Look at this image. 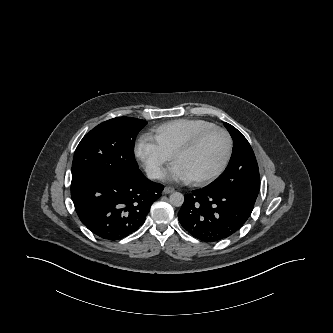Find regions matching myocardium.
Wrapping results in <instances>:
<instances>
[{
	"mask_svg": "<svg viewBox=\"0 0 333 333\" xmlns=\"http://www.w3.org/2000/svg\"><path fill=\"white\" fill-rule=\"evenodd\" d=\"M213 132H220L221 134H223V136L226 139L227 150H226L225 158H224L222 164L219 166V168L216 169L213 173H211L207 176H204V177L191 178L190 181L194 184H197V185L209 184V183L213 182L214 180H216L219 176H221L223 174V172L226 170V168L228 167V165L231 161L232 154H233V140H232L230 133L226 129H224L220 126H216V125L212 126L210 128H207V129L199 132L198 134H196L188 142H186L185 144L180 146L173 154V161L176 162V160L180 156L194 150L209 134H211Z\"/></svg>",
	"mask_w": 333,
	"mask_h": 333,
	"instance_id": "obj_1",
	"label": "myocardium"
}]
</instances>
